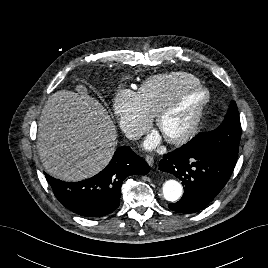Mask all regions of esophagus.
Listing matches in <instances>:
<instances>
[{
  "instance_id": "esophagus-1",
  "label": "esophagus",
  "mask_w": 268,
  "mask_h": 268,
  "mask_svg": "<svg viewBox=\"0 0 268 268\" xmlns=\"http://www.w3.org/2000/svg\"><path fill=\"white\" fill-rule=\"evenodd\" d=\"M145 160H146V162H147V164H148L149 166H153V164H154V157H153V156H151V155H147V156L145 157Z\"/></svg>"
}]
</instances>
